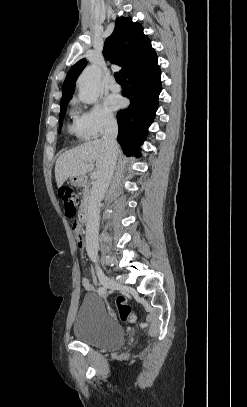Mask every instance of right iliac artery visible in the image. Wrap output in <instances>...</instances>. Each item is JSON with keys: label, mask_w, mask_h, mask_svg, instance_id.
<instances>
[{"label": "right iliac artery", "mask_w": 247, "mask_h": 407, "mask_svg": "<svg viewBox=\"0 0 247 407\" xmlns=\"http://www.w3.org/2000/svg\"><path fill=\"white\" fill-rule=\"evenodd\" d=\"M107 288L106 287H99V289H98V293L100 294V295H105V294H107Z\"/></svg>", "instance_id": "1"}]
</instances>
